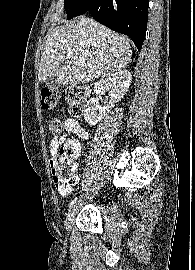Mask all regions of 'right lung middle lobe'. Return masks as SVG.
Returning <instances> with one entry per match:
<instances>
[{
  "instance_id": "right-lung-middle-lobe-1",
  "label": "right lung middle lobe",
  "mask_w": 195,
  "mask_h": 270,
  "mask_svg": "<svg viewBox=\"0 0 195 270\" xmlns=\"http://www.w3.org/2000/svg\"><path fill=\"white\" fill-rule=\"evenodd\" d=\"M82 2L83 0H64L67 19H71L87 12L88 6L83 5Z\"/></svg>"
}]
</instances>
